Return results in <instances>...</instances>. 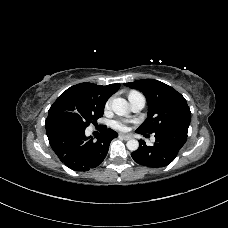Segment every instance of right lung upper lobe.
Masks as SVG:
<instances>
[{"label": "right lung upper lobe", "mask_w": 228, "mask_h": 228, "mask_svg": "<svg viewBox=\"0 0 228 228\" xmlns=\"http://www.w3.org/2000/svg\"><path fill=\"white\" fill-rule=\"evenodd\" d=\"M120 84H110L107 86H99L93 83H80L70 87V89L79 90L90 97L106 102L108 98L118 91Z\"/></svg>", "instance_id": "cb5924a9"}]
</instances>
